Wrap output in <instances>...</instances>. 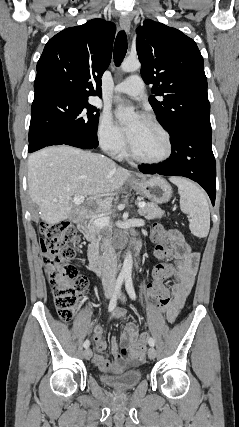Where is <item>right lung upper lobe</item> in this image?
Segmentation results:
<instances>
[{"instance_id":"1","label":"right lung upper lobe","mask_w":239,"mask_h":427,"mask_svg":"<svg viewBox=\"0 0 239 427\" xmlns=\"http://www.w3.org/2000/svg\"><path fill=\"white\" fill-rule=\"evenodd\" d=\"M116 27L92 19L52 37L37 63L34 99L101 96V77L111 56Z\"/></svg>"}]
</instances>
